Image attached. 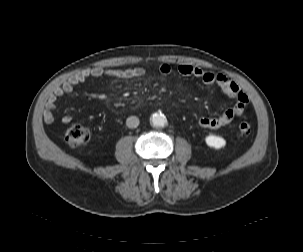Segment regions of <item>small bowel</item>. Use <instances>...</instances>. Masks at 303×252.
Returning <instances> with one entry per match:
<instances>
[{
    "mask_svg": "<svg viewBox=\"0 0 303 252\" xmlns=\"http://www.w3.org/2000/svg\"><path fill=\"white\" fill-rule=\"evenodd\" d=\"M159 72L165 76L170 75L173 72V67L168 62H163L159 65ZM177 72L183 77H193L199 79L206 85L216 84L220 87L225 95L236 100V105L225 110L220 116L200 117L197 121L200 127L206 129L221 128L229 124L236 116L240 115L244 111L248 103V97L244 91L226 75L213 73L185 63L178 65ZM145 74L146 70L142 67L128 69H107L102 67H93L82 70L65 80L62 84L57 85L53 89L45 106L43 121L45 124H52L55 121L54 112L58 98L72 92L77 85L83 84L91 78L108 77L117 79H130L140 78ZM71 120L72 117L69 114H64L61 117V122L63 124H67Z\"/></svg>",
    "mask_w": 303,
    "mask_h": 252,
    "instance_id": "small-bowel-1",
    "label": "small bowel"
}]
</instances>
